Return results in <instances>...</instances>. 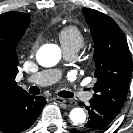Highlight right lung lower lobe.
<instances>
[{
    "label": "right lung lower lobe",
    "instance_id": "98d812e1",
    "mask_svg": "<svg viewBox=\"0 0 133 133\" xmlns=\"http://www.w3.org/2000/svg\"><path fill=\"white\" fill-rule=\"evenodd\" d=\"M45 104L44 97L31 96L28 93L16 97L0 114V131L19 133L28 129L36 121Z\"/></svg>",
    "mask_w": 133,
    "mask_h": 133
}]
</instances>
